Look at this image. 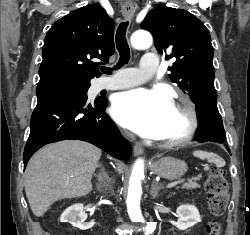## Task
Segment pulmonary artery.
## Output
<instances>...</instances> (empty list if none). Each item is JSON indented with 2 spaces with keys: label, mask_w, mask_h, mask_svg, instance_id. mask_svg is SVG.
I'll list each match as a JSON object with an SVG mask.
<instances>
[{
  "label": "pulmonary artery",
  "mask_w": 250,
  "mask_h": 235,
  "mask_svg": "<svg viewBox=\"0 0 250 235\" xmlns=\"http://www.w3.org/2000/svg\"><path fill=\"white\" fill-rule=\"evenodd\" d=\"M159 65V60L154 53L143 55L141 65L138 68L127 69L123 73L104 81H98V89H123L144 82L148 75L154 72Z\"/></svg>",
  "instance_id": "obj_1"
}]
</instances>
